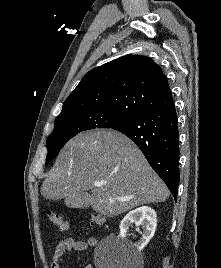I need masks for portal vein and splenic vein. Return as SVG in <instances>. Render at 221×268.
<instances>
[{
  "mask_svg": "<svg viewBox=\"0 0 221 268\" xmlns=\"http://www.w3.org/2000/svg\"><path fill=\"white\" fill-rule=\"evenodd\" d=\"M97 186H98V187H101V186H102V184H97Z\"/></svg>",
  "mask_w": 221,
  "mask_h": 268,
  "instance_id": "obj_1",
  "label": "portal vein and splenic vein"
}]
</instances>
